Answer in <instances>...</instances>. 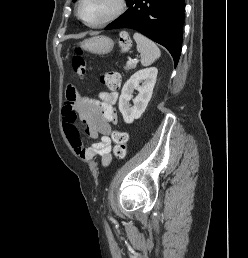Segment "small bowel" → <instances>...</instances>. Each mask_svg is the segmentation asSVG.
Masks as SVG:
<instances>
[{"label":"small bowel","instance_id":"c3829d8e","mask_svg":"<svg viewBox=\"0 0 248 258\" xmlns=\"http://www.w3.org/2000/svg\"><path fill=\"white\" fill-rule=\"evenodd\" d=\"M116 91L101 92L98 98L80 96L73 87L67 89L63 107V129L74 153L84 161L100 157L103 165L111 161V124L116 121L114 105ZM85 125L86 134L93 140L85 146L76 120Z\"/></svg>","mask_w":248,"mask_h":258}]
</instances>
